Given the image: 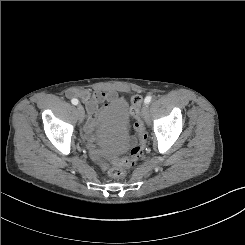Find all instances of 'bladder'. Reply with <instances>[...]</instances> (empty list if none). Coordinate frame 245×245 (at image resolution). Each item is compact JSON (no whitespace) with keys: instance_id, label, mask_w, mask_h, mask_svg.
Wrapping results in <instances>:
<instances>
[{"instance_id":"31cf9c89","label":"bladder","mask_w":245,"mask_h":245,"mask_svg":"<svg viewBox=\"0 0 245 245\" xmlns=\"http://www.w3.org/2000/svg\"><path fill=\"white\" fill-rule=\"evenodd\" d=\"M129 121V110L126 102L117 103L107 112H100L93 122L97 133V143L103 149L115 152L118 151L125 137V129ZM115 123L118 127L116 134L106 132V127Z\"/></svg>"}]
</instances>
